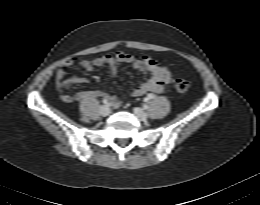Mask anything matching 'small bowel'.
I'll return each instance as SVG.
<instances>
[{"mask_svg":"<svg viewBox=\"0 0 260 205\" xmlns=\"http://www.w3.org/2000/svg\"><path fill=\"white\" fill-rule=\"evenodd\" d=\"M75 64L87 71H92L98 67L108 66L112 75L118 73L119 67L122 64H128L134 69L143 72L147 75V78L132 91V94L135 97L143 96L148 92L160 93L164 90L165 86L172 81L169 69L159 65L154 58L146 55L139 58L124 51H117L113 54H106L91 59L71 58L60 65L55 76L56 86L63 92L61 94V99L67 103L72 102L75 99L82 100L90 97L103 96L109 100L114 108L120 106V100L117 96L99 90L79 92L75 95L64 93V91L72 85L84 82V79L82 78H75L72 80L66 79L67 70Z\"/></svg>","mask_w":260,"mask_h":205,"instance_id":"c3829d8e","label":"small bowel"}]
</instances>
